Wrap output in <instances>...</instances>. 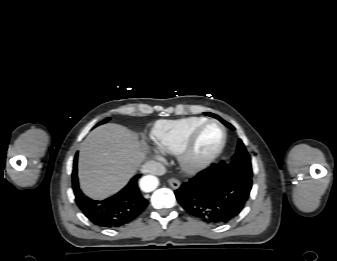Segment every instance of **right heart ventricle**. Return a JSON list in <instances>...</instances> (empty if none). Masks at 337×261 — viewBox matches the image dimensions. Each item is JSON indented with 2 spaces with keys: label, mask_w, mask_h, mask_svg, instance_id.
Listing matches in <instances>:
<instances>
[{
  "label": "right heart ventricle",
  "mask_w": 337,
  "mask_h": 261,
  "mask_svg": "<svg viewBox=\"0 0 337 261\" xmlns=\"http://www.w3.org/2000/svg\"><path fill=\"white\" fill-rule=\"evenodd\" d=\"M206 121L203 117H186L176 120L158 121L152 129L156 145L170 154H178L189 134Z\"/></svg>",
  "instance_id": "1"
}]
</instances>
